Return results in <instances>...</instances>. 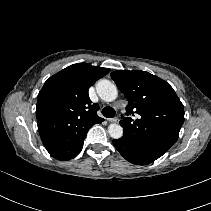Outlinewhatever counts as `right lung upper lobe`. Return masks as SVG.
<instances>
[{
    "mask_svg": "<svg viewBox=\"0 0 211 211\" xmlns=\"http://www.w3.org/2000/svg\"><path fill=\"white\" fill-rule=\"evenodd\" d=\"M109 68L77 63L51 76L37 97V124L50 155L65 161L77 150L89 128L104 121L99 106L91 102L89 88L109 73Z\"/></svg>",
    "mask_w": 211,
    "mask_h": 211,
    "instance_id": "right-lung-upper-lobe-1",
    "label": "right lung upper lobe"
}]
</instances>
